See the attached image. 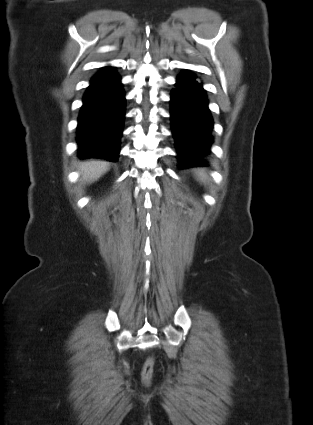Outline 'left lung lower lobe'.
I'll return each instance as SVG.
<instances>
[{"mask_svg":"<svg viewBox=\"0 0 313 425\" xmlns=\"http://www.w3.org/2000/svg\"><path fill=\"white\" fill-rule=\"evenodd\" d=\"M171 94V125L180 168L203 167L201 156L212 143L213 120L202 84L189 71L182 72Z\"/></svg>","mask_w":313,"mask_h":425,"instance_id":"obj_1","label":"left lung lower lobe"}]
</instances>
